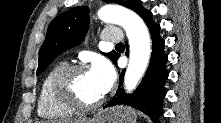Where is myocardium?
<instances>
[{
    "label": "myocardium",
    "mask_w": 221,
    "mask_h": 123,
    "mask_svg": "<svg viewBox=\"0 0 221 123\" xmlns=\"http://www.w3.org/2000/svg\"><path fill=\"white\" fill-rule=\"evenodd\" d=\"M86 71L87 68L84 65L71 64L66 65L57 73L53 80L52 89L53 94L59 103L74 111L95 110L104 103V95L93 103H85L74 94L71 87L73 77L78 73Z\"/></svg>",
    "instance_id": "f54148a6"
}]
</instances>
